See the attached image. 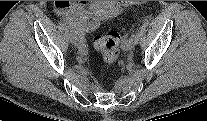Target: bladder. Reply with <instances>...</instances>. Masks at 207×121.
I'll return each mask as SVG.
<instances>
[{"mask_svg": "<svg viewBox=\"0 0 207 121\" xmlns=\"http://www.w3.org/2000/svg\"><path fill=\"white\" fill-rule=\"evenodd\" d=\"M92 10L96 19L106 20L119 13L120 5L116 1H99L93 5Z\"/></svg>", "mask_w": 207, "mask_h": 121, "instance_id": "obj_1", "label": "bladder"}]
</instances>
